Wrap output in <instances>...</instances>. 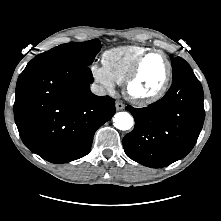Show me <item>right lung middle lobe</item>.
<instances>
[{
    "mask_svg": "<svg viewBox=\"0 0 221 221\" xmlns=\"http://www.w3.org/2000/svg\"><path fill=\"white\" fill-rule=\"evenodd\" d=\"M101 49L99 40L59 45L34 57L30 62H68L89 66Z\"/></svg>",
    "mask_w": 221,
    "mask_h": 221,
    "instance_id": "dd1d6c3e",
    "label": "right lung middle lobe"
}]
</instances>
